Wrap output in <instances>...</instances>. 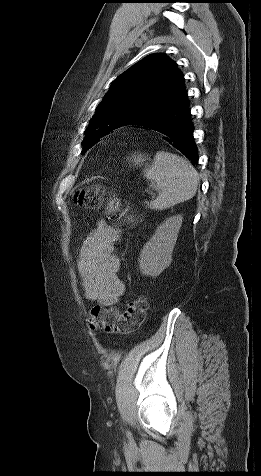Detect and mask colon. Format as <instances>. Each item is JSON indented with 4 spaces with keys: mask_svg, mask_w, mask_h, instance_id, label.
<instances>
[{
    "mask_svg": "<svg viewBox=\"0 0 261 476\" xmlns=\"http://www.w3.org/2000/svg\"><path fill=\"white\" fill-rule=\"evenodd\" d=\"M74 203L80 207L104 213L120 223H129L133 216L114 193L101 185H91L76 191ZM148 305L145 299L129 301L124 312L113 307L95 305L89 311V327L92 332L129 334L145 320Z\"/></svg>",
    "mask_w": 261,
    "mask_h": 476,
    "instance_id": "1",
    "label": "colon"
}]
</instances>
